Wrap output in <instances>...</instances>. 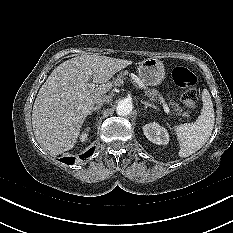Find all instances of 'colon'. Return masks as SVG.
<instances>
[{
    "label": "colon",
    "mask_w": 233,
    "mask_h": 233,
    "mask_svg": "<svg viewBox=\"0 0 233 233\" xmlns=\"http://www.w3.org/2000/svg\"><path fill=\"white\" fill-rule=\"evenodd\" d=\"M175 84L182 89V101L190 108H196V82L194 73L185 67H176L172 71Z\"/></svg>",
    "instance_id": "colon-1"
}]
</instances>
